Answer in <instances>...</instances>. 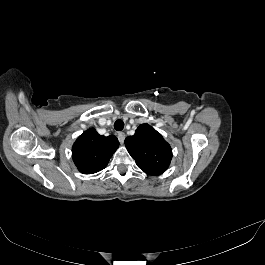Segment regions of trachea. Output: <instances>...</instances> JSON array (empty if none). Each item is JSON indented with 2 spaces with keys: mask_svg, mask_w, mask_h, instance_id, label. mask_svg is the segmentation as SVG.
Segmentation results:
<instances>
[{
  "mask_svg": "<svg viewBox=\"0 0 265 265\" xmlns=\"http://www.w3.org/2000/svg\"><path fill=\"white\" fill-rule=\"evenodd\" d=\"M114 128L115 130L117 131H121L123 130L124 128V122L122 120H117L115 123H114Z\"/></svg>",
  "mask_w": 265,
  "mask_h": 265,
  "instance_id": "trachea-1",
  "label": "trachea"
}]
</instances>
